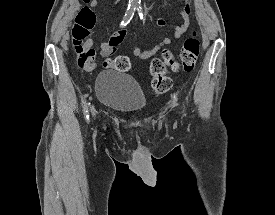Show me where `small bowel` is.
<instances>
[{
    "mask_svg": "<svg viewBox=\"0 0 275 215\" xmlns=\"http://www.w3.org/2000/svg\"><path fill=\"white\" fill-rule=\"evenodd\" d=\"M185 3L183 4L181 11H180V16L182 18V23L178 26L175 27L173 35L171 37H166L164 38L159 44H157L153 49L151 50H141L140 47L134 46L132 49V53L135 57L145 60L150 58L162 45H168L172 43L174 40H177L182 37V35L187 31L189 27V18L191 15V6H190V0H184ZM89 6L91 8H97L98 7V0H90ZM157 25L160 27H165L167 25V21L164 20L163 18H159L157 20ZM126 36V30L125 29H120L113 33L109 40L105 43H102L100 45V54L102 57H108L110 56L116 46H118L123 39ZM87 46L92 47L93 46V40L91 38H88L86 41ZM96 63L91 60L90 63H88L85 66V70L91 71L95 69Z\"/></svg>",
    "mask_w": 275,
    "mask_h": 215,
    "instance_id": "c3829d8e",
    "label": "small bowel"
}]
</instances>
